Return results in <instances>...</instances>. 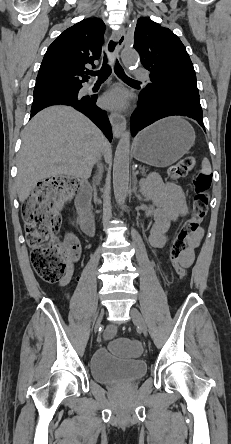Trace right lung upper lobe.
Listing matches in <instances>:
<instances>
[{
  "instance_id": "cb5924a9",
  "label": "right lung upper lobe",
  "mask_w": 231,
  "mask_h": 444,
  "mask_svg": "<svg viewBox=\"0 0 231 444\" xmlns=\"http://www.w3.org/2000/svg\"><path fill=\"white\" fill-rule=\"evenodd\" d=\"M105 25L88 18L65 30L47 49L41 63L34 93L58 85H81L88 80L85 65L101 55Z\"/></svg>"
}]
</instances>
